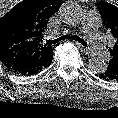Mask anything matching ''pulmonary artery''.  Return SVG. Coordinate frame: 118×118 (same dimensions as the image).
I'll list each match as a JSON object with an SVG mask.
<instances>
[{
	"mask_svg": "<svg viewBox=\"0 0 118 118\" xmlns=\"http://www.w3.org/2000/svg\"><path fill=\"white\" fill-rule=\"evenodd\" d=\"M99 16L96 11H88L83 16V29L87 35L88 41L93 51L104 58L108 57V51L105 48L97 28Z\"/></svg>",
	"mask_w": 118,
	"mask_h": 118,
	"instance_id": "pulmonary-artery-1",
	"label": "pulmonary artery"
}]
</instances>
